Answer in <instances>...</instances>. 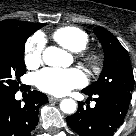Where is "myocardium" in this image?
Instances as JSON below:
<instances>
[{"label":"myocardium","instance_id":"myocardium-1","mask_svg":"<svg viewBox=\"0 0 136 136\" xmlns=\"http://www.w3.org/2000/svg\"><path fill=\"white\" fill-rule=\"evenodd\" d=\"M79 56L90 71H96L101 63V56L96 51H79Z\"/></svg>","mask_w":136,"mask_h":136}]
</instances>
